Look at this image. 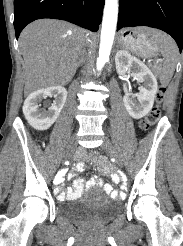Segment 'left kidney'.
Instances as JSON below:
<instances>
[{"label":"left kidney","instance_id":"left-kidney-1","mask_svg":"<svg viewBox=\"0 0 183 246\" xmlns=\"http://www.w3.org/2000/svg\"><path fill=\"white\" fill-rule=\"evenodd\" d=\"M115 64L118 74L123 78L127 77L126 73H131L139 84L143 83L139 93L136 94L128 90L125 83L123 84L125 93L123 102L127 112L134 119L143 118L150 112L154 104L158 90L156 77L142 61L125 50H119L116 53Z\"/></svg>","mask_w":183,"mask_h":246}]
</instances>
